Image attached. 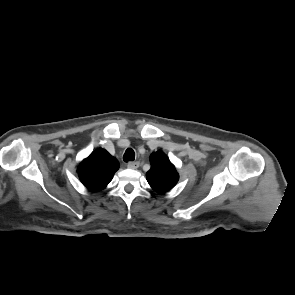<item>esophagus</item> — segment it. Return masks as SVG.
Wrapping results in <instances>:
<instances>
[{
    "label": "esophagus",
    "instance_id": "34e87169",
    "mask_svg": "<svg viewBox=\"0 0 295 295\" xmlns=\"http://www.w3.org/2000/svg\"><path fill=\"white\" fill-rule=\"evenodd\" d=\"M127 167L129 169H137L139 167V162H130Z\"/></svg>",
    "mask_w": 295,
    "mask_h": 295
}]
</instances>
